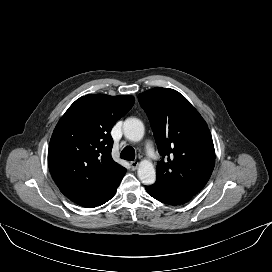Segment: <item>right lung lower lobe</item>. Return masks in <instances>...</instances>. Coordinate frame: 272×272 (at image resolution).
<instances>
[{
	"mask_svg": "<svg viewBox=\"0 0 272 272\" xmlns=\"http://www.w3.org/2000/svg\"><path fill=\"white\" fill-rule=\"evenodd\" d=\"M125 173L126 169L122 167L98 191L75 203L86 208H94L106 203L114 196Z\"/></svg>",
	"mask_w": 272,
	"mask_h": 272,
	"instance_id": "1",
	"label": "right lung lower lobe"
}]
</instances>
